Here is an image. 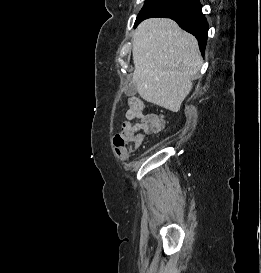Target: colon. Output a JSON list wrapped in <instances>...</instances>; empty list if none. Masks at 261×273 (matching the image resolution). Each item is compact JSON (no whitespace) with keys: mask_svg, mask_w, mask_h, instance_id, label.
Masks as SVG:
<instances>
[{"mask_svg":"<svg viewBox=\"0 0 261 273\" xmlns=\"http://www.w3.org/2000/svg\"><path fill=\"white\" fill-rule=\"evenodd\" d=\"M129 107L132 111L138 115L145 113L144 106L140 99L136 97H130L128 100ZM143 142V136L136 131H119L114 135L113 145L117 157L121 160L127 158V156L136 151Z\"/></svg>","mask_w":261,"mask_h":273,"instance_id":"5ec220e1","label":"colon"}]
</instances>
